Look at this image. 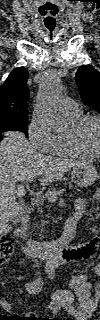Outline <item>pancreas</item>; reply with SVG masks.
<instances>
[{
  "label": "pancreas",
  "instance_id": "1",
  "mask_svg": "<svg viewBox=\"0 0 100 320\" xmlns=\"http://www.w3.org/2000/svg\"><path fill=\"white\" fill-rule=\"evenodd\" d=\"M58 190L56 188H51L48 192H57ZM44 201H45V197L44 196H41L37 199L36 203L37 205L39 206V210L40 212H42V208L40 206H43L44 205ZM45 222L44 221H41V223L39 224V229L41 232L45 233L46 230H45ZM39 237H41V235L39 234Z\"/></svg>",
  "mask_w": 100,
  "mask_h": 320
}]
</instances>
